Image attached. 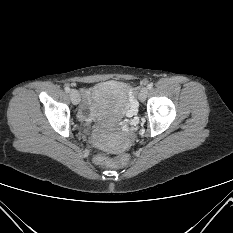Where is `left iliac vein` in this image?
Returning <instances> with one entry per match:
<instances>
[{
	"label": "left iliac vein",
	"instance_id": "4c4485c4",
	"mask_svg": "<svg viewBox=\"0 0 233 233\" xmlns=\"http://www.w3.org/2000/svg\"><path fill=\"white\" fill-rule=\"evenodd\" d=\"M148 95V88L144 87L141 89L140 93H139V100L141 102H144L147 98Z\"/></svg>",
	"mask_w": 233,
	"mask_h": 233
}]
</instances>
